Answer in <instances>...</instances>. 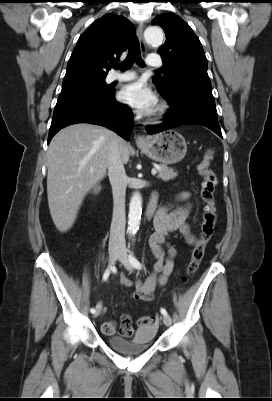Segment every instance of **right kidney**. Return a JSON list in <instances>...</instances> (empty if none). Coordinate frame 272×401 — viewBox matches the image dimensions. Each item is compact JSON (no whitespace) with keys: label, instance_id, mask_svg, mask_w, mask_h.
Segmentation results:
<instances>
[{"label":"right kidney","instance_id":"right-kidney-1","mask_svg":"<svg viewBox=\"0 0 272 401\" xmlns=\"http://www.w3.org/2000/svg\"><path fill=\"white\" fill-rule=\"evenodd\" d=\"M100 190V187H98L96 190H95V192H97V191H99Z\"/></svg>","mask_w":272,"mask_h":401}]
</instances>
